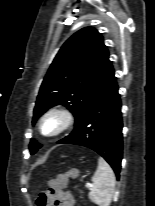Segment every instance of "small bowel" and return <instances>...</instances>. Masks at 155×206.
I'll return each instance as SVG.
<instances>
[{"mask_svg":"<svg viewBox=\"0 0 155 206\" xmlns=\"http://www.w3.org/2000/svg\"><path fill=\"white\" fill-rule=\"evenodd\" d=\"M45 197L46 201L42 206H76L72 194L62 188H50Z\"/></svg>","mask_w":155,"mask_h":206,"instance_id":"1","label":"small bowel"}]
</instances>
